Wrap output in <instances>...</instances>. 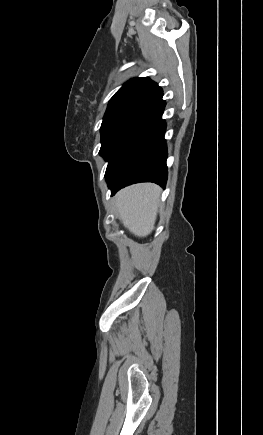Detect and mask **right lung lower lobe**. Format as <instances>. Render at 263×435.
<instances>
[{
	"label": "right lung lower lobe",
	"instance_id": "98d812e1",
	"mask_svg": "<svg viewBox=\"0 0 263 435\" xmlns=\"http://www.w3.org/2000/svg\"><path fill=\"white\" fill-rule=\"evenodd\" d=\"M162 96L161 93L143 107L109 162L105 177L111 195L138 182H154L162 187L166 185V124L162 120L165 101Z\"/></svg>",
	"mask_w": 263,
	"mask_h": 435
}]
</instances>
